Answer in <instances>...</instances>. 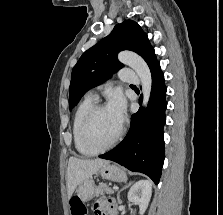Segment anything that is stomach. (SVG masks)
I'll return each mask as SVG.
<instances>
[{
    "label": "stomach",
    "instance_id": "obj_1",
    "mask_svg": "<svg viewBox=\"0 0 223 215\" xmlns=\"http://www.w3.org/2000/svg\"><path fill=\"white\" fill-rule=\"evenodd\" d=\"M103 179H110V181H126L127 175L124 173L121 167H117V165H113V163H104L102 167H99L98 171ZM95 183L92 177L89 179H85L81 185H79L76 193H80L79 201H88L92 197V189H94Z\"/></svg>",
    "mask_w": 223,
    "mask_h": 215
}]
</instances>
